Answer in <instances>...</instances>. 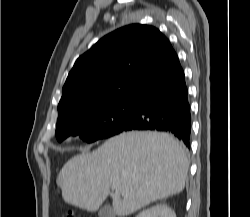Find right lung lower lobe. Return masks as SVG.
<instances>
[{
  "label": "right lung lower lobe",
  "mask_w": 250,
  "mask_h": 217,
  "mask_svg": "<svg viewBox=\"0 0 250 217\" xmlns=\"http://www.w3.org/2000/svg\"><path fill=\"white\" fill-rule=\"evenodd\" d=\"M133 99V118L123 131H166L190 148V104L180 63L167 76Z\"/></svg>",
  "instance_id": "1"
}]
</instances>
